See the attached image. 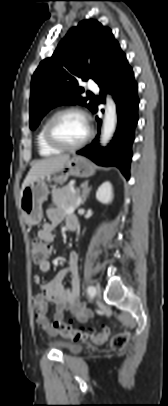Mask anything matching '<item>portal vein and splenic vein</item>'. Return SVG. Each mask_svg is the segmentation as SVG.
<instances>
[{
  "label": "portal vein and splenic vein",
  "instance_id": "portal-vein-and-splenic-vein-1",
  "mask_svg": "<svg viewBox=\"0 0 168 406\" xmlns=\"http://www.w3.org/2000/svg\"><path fill=\"white\" fill-rule=\"evenodd\" d=\"M79 201L77 202V204L75 205V206H71L70 208H68L67 210H66V213L67 214H71V213H73L74 212V210L76 209V207H78L79 206Z\"/></svg>",
  "mask_w": 168,
  "mask_h": 406
}]
</instances>
